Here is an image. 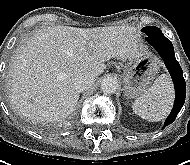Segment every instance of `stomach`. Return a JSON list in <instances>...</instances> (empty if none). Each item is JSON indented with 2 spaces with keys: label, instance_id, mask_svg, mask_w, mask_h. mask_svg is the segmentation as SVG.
I'll list each match as a JSON object with an SVG mask.
<instances>
[{
  "label": "stomach",
  "instance_id": "obj_1",
  "mask_svg": "<svg viewBox=\"0 0 190 165\" xmlns=\"http://www.w3.org/2000/svg\"><path fill=\"white\" fill-rule=\"evenodd\" d=\"M158 71V63L152 57L132 60L123 73L124 96L134 99L144 95Z\"/></svg>",
  "mask_w": 190,
  "mask_h": 165
}]
</instances>
